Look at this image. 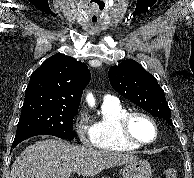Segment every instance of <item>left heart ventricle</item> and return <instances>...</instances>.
<instances>
[{
	"label": "left heart ventricle",
	"instance_id": "obj_1",
	"mask_svg": "<svg viewBox=\"0 0 194 178\" xmlns=\"http://www.w3.org/2000/svg\"><path fill=\"white\" fill-rule=\"evenodd\" d=\"M130 131L136 139L142 142H149L155 136V130L152 124L142 117H135L132 120Z\"/></svg>",
	"mask_w": 194,
	"mask_h": 178
}]
</instances>
